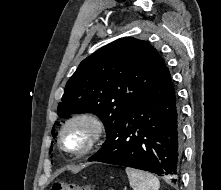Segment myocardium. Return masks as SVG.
Segmentation results:
<instances>
[{"label":"myocardium","mask_w":221,"mask_h":190,"mask_svg":"<svg viewBox=\"0 0 221 190\" xmlns=\"http://www.w3.org/2000/svg\"><path fill=\"white\" fill-rule=\"evenodd\" d=\"M85 123L90 130L87 143L78 149H72L65 144L64 136L68 127L75 123ZM104 132V123L102 119L95 113L90 111H81L74 113L68 117L62 124L59 132V145L65 151L74 155H84L92 151L98 144Z\"/></svg>","instance_id":"f54148a6"}]
</instances>
